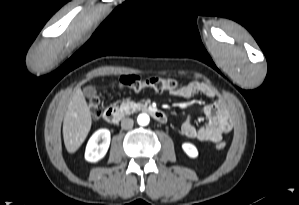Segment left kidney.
Listing matches in <instances>:
<instances>
[{
	"label": "left kidney",
	"instance_id": "obj_1",
	"mask_svg": "<svg viewBox=\"0 0 299 205\" xmlns=\"http://www.w3.org/2000/svg\"><path fill=\"white\" fill-rule=\"evenodd\" d=\"M182 149L191 158H196L198 156L197 148L191 143H183Z\"/></svg>",
	"mask_w": 299,
	"mask_h": 205
}]
</instances>
